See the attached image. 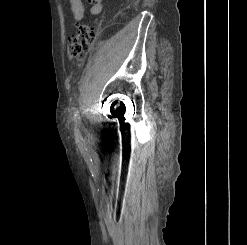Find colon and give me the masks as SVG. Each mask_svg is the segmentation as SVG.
<instances>
[{
	"label": "colon",
	"mask_w": 247,
	"mask_h": 245,
	"mask_svg": "<svg viewBox=\"0 0 247 245\" xmlns=\"http://www.w3.org/2000/svg\"><path fill=\"white\" fill-rule=\"evenodd\" d=\"M96 38V29L92 25L82 24L67 40V56L72 62L86 57Z\"/></svg>",
	"instance_id": "obj_1"
}]
</instances>
